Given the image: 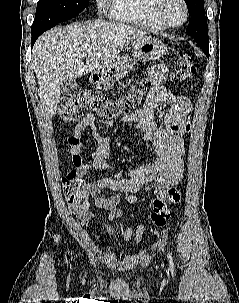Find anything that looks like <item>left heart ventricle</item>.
<instances>
[{
    "instance_id": "left-heart-ventricle-1",
    "label": "left heart ventricle",
    "mask_w": 239,
    "mask_h": 303,
    "mask_svg": "<svg viewBox=\"0 0 239 303\" xmlns=\"http://www.w3.org/2000/svg\"><path fill=\"white\" fill-rule=\"evenodd\" d=\"M164 17L173 24L182 22L184 18L183 5L179 0H165L162 6Z\"/></svg>"
}]
</instances>
